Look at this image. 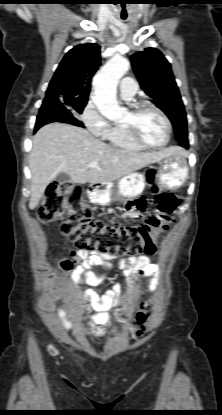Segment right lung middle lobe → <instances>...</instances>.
<instances>
[{
    "instance_id": "obj_1",
    "label": "right lung middle lobe",
    "mask_w": 222,
    "mask_h": 415,
    "mask_svg": "<svg viewBox=\"0 0 222 415\" xmlns=\"http://www.w3.org/2000/svg\"><path fill=\"white\" fill-rule=\"evenodd\" d=\"M57 102L62 104L69 111L78 112V113H82L84 107L87 104V100H76V99H72V98L60 97L59 99H56V100L44 101L42 106L45 105V104H54V103H57Z\"/></svg>"
}]
</instances>
